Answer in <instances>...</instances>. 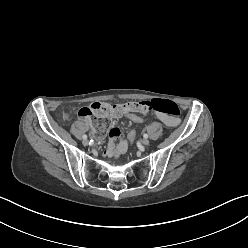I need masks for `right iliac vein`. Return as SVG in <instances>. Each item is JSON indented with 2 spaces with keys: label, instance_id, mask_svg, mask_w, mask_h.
<instances>
[{
  "label": "right iliac vein",
  "instance_id": "right-iliac-vein-1",
  "mask_svg": "<svg viewBox=\"0 0 248 248\" xmlns=\"http://www.w3.org/2000/svg\"><path fill=\"white\" fill-rule=\"evenodd\" d=\"M89 144V141L87 139L83 140V145L87 146Z\"/></svg>",
  "mask_w": 248,
  "mask_h": 248
}]
</instances>
